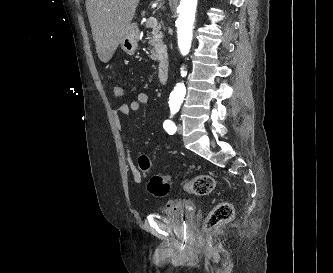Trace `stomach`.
<instances>
[{"label":"stomach","instance_id":"0dacf381","mask_svg":"<svg viewBox=\"0 0 333 273\" xmlns=\"http://www.w3.org/2000/svg\"><path fill=\"white\" fill-rule=\"evenodd\" d=\"M138 39H139V37H138L136 30L133 27H131L129 29V32L127 33V35L123 38V40L121 42V48L127 54H134V52L137 49Z\"/></svg>","mask_w":333,"mask_h":273}]
</instances>
